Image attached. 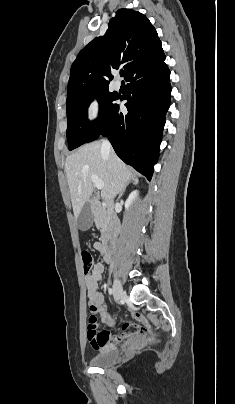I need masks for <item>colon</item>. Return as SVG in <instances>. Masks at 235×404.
Instances as JSON below:
<instances>
[{
  "label": "colon",
  "mask_w": 235,
  "mask_h": 404,
  "mask_svg": "<svg viewBox=\"0 0 235 404\" xmlns=\"http://www.w3.org/2000/svg\"><path fill=\"white\" fill-rule=\"evenodd\" d=\"M82 267L85 274L89 273L93 267V256L89 250L81 251ZM97 329V316L92 314L88 317V330L95 333Z\"/></svg>",
  "instance_id": "obj_1"
}]
</instances>
